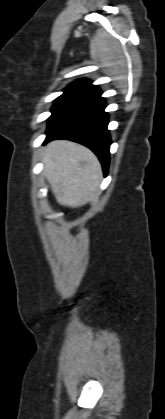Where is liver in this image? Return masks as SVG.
<instances>
[{
  "label": "liver",
  "mask_w": 165,
  "mask_h": 419,
  "mask_svg": "<svg viewBox=\"0 0 165 419\" xmlns=\"http://www.w3.org/2000/svg\"><path fill=\"white\" fill-rule=\"evenodd\" d=\"M44 174L57 202L77 208L94 200L102 178L96 155L85 146L59 140L43 149Z\"/></svg>",
  "instance_id": "6515ba94"
}]
</instances>
